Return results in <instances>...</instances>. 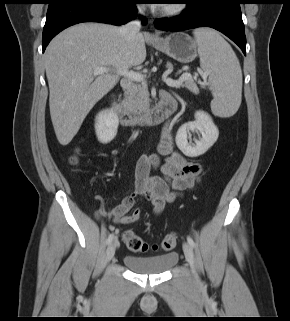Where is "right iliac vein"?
Segmentation results:
<instances>
[{
	"instance_id": "right-iliac-vein-1",
	"label": "right iliac vein",
	"mask_w": 290,
	"mask_h": 321,
	"mask_svg": "<svg viewBox=\"0 0 290 321\" xmlns=\"http://www.w3.org/2000/svg\"><path fill=\"white\" fill-rule=\"evenodd\" d=\"M115 250H116V240L113 243H111L106 250V257H105L106 262H109L113 258L115 254Z\"/></svg>"
}]
</instances>
